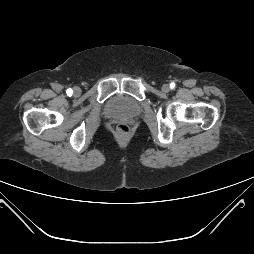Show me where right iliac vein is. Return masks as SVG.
Here are the masks:
<instances>
[{
	"mask_svg": "<svg viewBox=\"0 0 254 254\" xmlns=\"http://www.w3.org/2000/svg\"><path fill=\"white\" fill-rule=\"evenodd\" d=\"M80 93H81L80 88H79V87H75V88H74V95H75V96H79Z\"/></svg>",
	"mask_w": 254,
	"mask_h": 254,
	"instance_id": "63e3f726",
	"label": "right iliac vein"
}]
</instances>
